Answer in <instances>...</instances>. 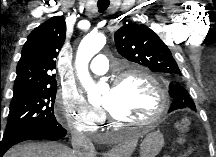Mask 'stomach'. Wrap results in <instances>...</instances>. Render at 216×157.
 <instances>
[{
    "mask_svg": "<svg viewBox=\"0 0 216 157\" xmlns=\"http://www.w3.org/2000/svg\"><path fill=\"white\" fill-rule=\"evenodd\" d=\"M163 144L164 137L159 130L146 133L140 144L139 157H156Z\"/></svg>",
    "mask_w": 216,
    "mask_h": 157,
    "instance_id": "0dacf381",
    "label": "stomach"
}]
</instances>
